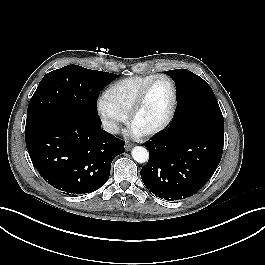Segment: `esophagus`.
Here are the masks:
<instances>
[{"mask_svg": "<svg viewBox=\"0 0 265 265\" xmlns=\"http://www.w3.org/2000/svg\"><path fill=\"white\" fill-rule=\"evenodd\" d=\"M131 147H132V144H130V143H127V144L125 145V149H126V150H130Z\"/></svg>", "mask_w": 265, "mask_h": 265, "instance_id": "obj_1", "label": "esophagus"}]
</instances>
